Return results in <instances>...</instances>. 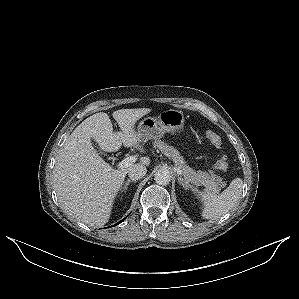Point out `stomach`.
<instances>
[{"label":"stomach","instance_id":"stomach-1","mask_svg":"<svg viewBox=\"0 0 299 299\" xmlns=\"http://www.w3.org/2000/svg\"><path fill=\"white\" fill-rule=\"evenodd\" d=\"M185 117L182 111L169 109L162 111L158 117H146L140 121L137 133L141 141L160 139L165 133H176L183 129Z\"/></svg>","mask_w":299,"mask_h":299}]
</instances>
